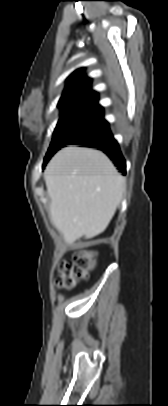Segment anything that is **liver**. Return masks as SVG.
Wrapping results in <instances>:
<instances>
[{"mask_svg":"<svg viewBox=\"0 0 168 406\" xmlns=\"http://www.w3.org/2000/svg\"><path fill=\"white\" fill-rule=\"evenodd\" d=\"M50 215L67 244L107 228L125 190V179L101 151L69 146L46 167Z\"/></svg>","mask_w":168,"mask_h":406,"instance_id":"obj_1","label":"liver"}]
</instances>
